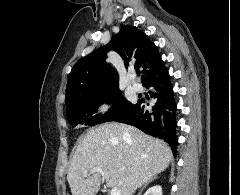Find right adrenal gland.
<instances>
[{"label": "right adrenal gland", "instance_id": "right-adrenal-gland-1", "mask_svg": "<svg viewBox=\"0 0 240 195\" xmlns=\"http://www.w3.org/2000/svg\"><path fill=\"white\" fill-rule=\"evenodd\" d=\"M158 175H154V177H151V179H148V181H145V183H143V187H141L138 195H141L144 187H146V185H148V183H150V181H154V179H157Z\"/></svg>", "mask_w": 240, "mask_h": 195}]
</instances>
